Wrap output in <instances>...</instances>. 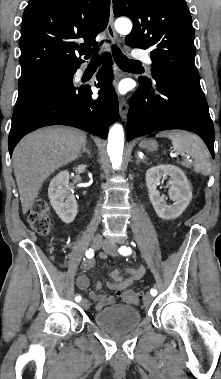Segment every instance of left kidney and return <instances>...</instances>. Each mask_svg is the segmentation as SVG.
Listing matches in <instances>:
<instances>
[{"label": "left kidney", "mask_w": 221, "mask_h": 379, "mask_svg": "<svg viewBox=\"0 0 221 379\" xmlns=\"http://www.w3.org/2000/svg\"><path fill=\"white\" fill-rule=\"evenodd\" d=\"M167 176L170 177L169 198L174 202L172 206L167 205L166 200L159 195L156 189L161 178L164 179ZM146 185L150 202L161 219L170 220L179 217L192 200V191L187 177L180 168L174 165H158L148 169Z\"/></svg>", "instance_id": "5707ae66"}]
</instances>
